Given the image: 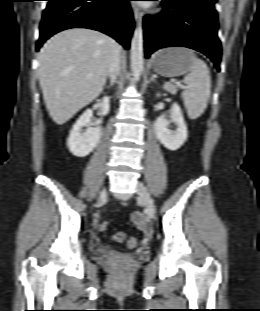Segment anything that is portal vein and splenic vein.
Returning <instances> with one entry per match:
<instances>
[{
	"label": "portal vein and splenic vein",
	"instance_id": "18ae733b",
	"mask_svg": "<svg viewBox=\"0 0 260 311\" xmlns=\"http://www.w3.org/2000/svg\"><path fill=\"white\" fill-rule=\"evenodd\" d=\"M176 84L182 88H185V86L181 85L179 82H177Z\"/></svg>",
	"mask_w": 260,
	"mask_h": 311
}]
</instances>
